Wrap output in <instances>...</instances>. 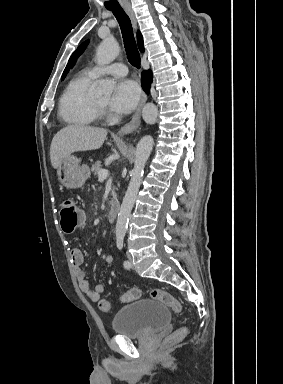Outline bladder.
<instances>
[{
	"label": "bladder",
	"mask_w": 283,
	"mask_h": 384,
	"mask_svg": "<svg viewBox=\"0 0 283 384\" xmlns=\"http://www.w3.org/2000/svg\"><path fill=\"white\" fill-rule=\"evenodd\" d=\"M169 321L170 313L165 304L149 299H135L116 311L112 330L119 336L140 338L164 328Z\"/></svg>",
	"instance_id": "obj_1"
}]
</instances>
